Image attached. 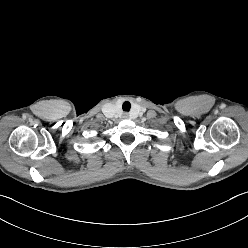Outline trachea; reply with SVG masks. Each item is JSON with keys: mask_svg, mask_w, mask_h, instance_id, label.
<instances>
[{"mask_svg": "<svg viewBox=\"0 0 248 248\" xmlns=\"http://www.w3.org/2000/svg\"><path fill=\"white\" fill-rule=\"evenodd\" d=\"M130 108H131L130 102L125 101V102L123 103V105H122V109H123L124 111H129Z\"/></svg>", "mask_w": 248, "mask_h": 248, "instance_id": "1", "label": "trachea"}]
</instances>
